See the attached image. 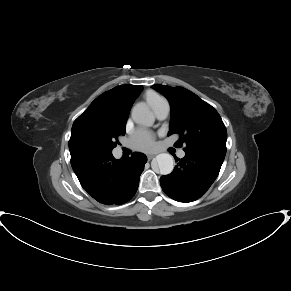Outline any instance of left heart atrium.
Masks as SVG:
<instances>
[{"label": "left heart atrium", "instance_id": "39dd6f15", "mask_svg": "<svg viewBox=\"0 0 291 291\" xmlns=\"http://www.w3.org/2000/svg\"><path fill=\"white\" fill-rule=\"evenodd\" d=\"M131 142L134 148L141 151H149L155 146V137L151 132L140 129L134 133Z\"/></svg>", "mask_w": 291, "mask_h": 291}]
</instances>
